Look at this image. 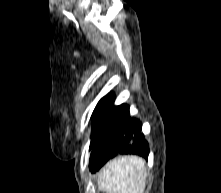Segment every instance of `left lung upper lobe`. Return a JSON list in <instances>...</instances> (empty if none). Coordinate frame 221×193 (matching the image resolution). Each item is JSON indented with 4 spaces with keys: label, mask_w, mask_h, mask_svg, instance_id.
<instances>
[{
    "label": "left lung upper lobe",
    "mask_w": 221,
    "mask_h": 193,
    "mask_svg": "<svg viewBox=\"0 0 221 193\" xmlns=\"http://www.w3.org/2000/svg\"><path fill=\"white\" fill-rule=\"evenodd\" d=\"M114 94L111 93L108 96L103 97L95 107L91 119L93 120V132L91 135V143L89 150H92L96 145L101 135L105 131L108 125V113L114 102Z\"/></svg>",
    "instance_id": "1"
}]
</instances>
